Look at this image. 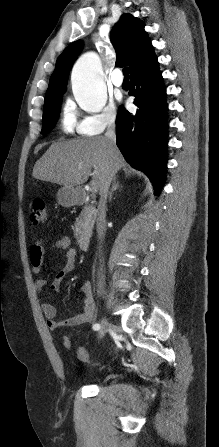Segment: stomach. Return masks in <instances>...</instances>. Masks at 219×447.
I'll list each match as a JSON object with an SVG mask.
<instances>
[{"instance_id":"1","label":"stomach","mask_w":219,"mask_h":447,"mask_svg":"<svg viewBox=\"0 0 219 447\" xmlns=\"http://www.w3.org/2000/svg\"><path fill=\"white\" fill-rule=\"evenodd\" d=\"M79 198L78 188L63 186L57 193V200L59 204L64 207H71L75 205Z\"/></svg>"}]
</instances>
